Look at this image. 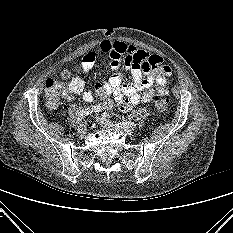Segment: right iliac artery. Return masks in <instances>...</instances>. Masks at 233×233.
Instances as JSON below:
<instances>
[{"mask_svg": "<svg viewBox=\"0 0 233 233\" xmlns=\"http://www.w3.org/2000/svg\"><path fill=\"white\" fill-rule=\"evenodd\" d=\"M103 105L101 104H98V105H94V106H91V107H88L86 109H83L82 111H80L79 113V117L77 119V122L80 123L82 122V120L84 119V117L88 114H91L93 112H100L103 110Z\"/></svg>", "mask_w": 233, "mask_h": 233, "instance_id": "1", "label": "right iliac artery"}]
</instances>
